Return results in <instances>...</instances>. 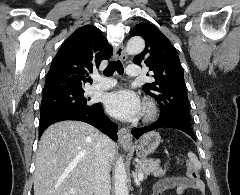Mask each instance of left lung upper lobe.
Returning <instances> with one entry per match:
<instances>
[{
    "label": "left lung upper lobe",
    "instance_id": "obj_1",
    "mask_svg": "<svg viewBox=\"0 0 240 195\" xmlns=\"http://www.w3.org/2000/svg\"><path fill=\"white\" fill-rule=\"evenodd\" d=\"M131 36H141L145 49L133 62L147 66L154 82L146 83L144 91L154 97L160 107V118L175 117L190 122L184 72L178 53L167 37L154 25L140 23Z\"/></svg>",
    "mask_w": 240,
    "mask_h": 195
}]
</instances>
